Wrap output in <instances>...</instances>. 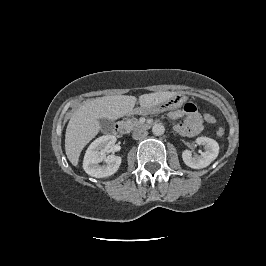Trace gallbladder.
Returning a JSON list of instances; mask_svg holds the SVG:
<instances>
[{
  "label": "gallbladder",
  "mask_w": 266,
  "mask_h": 266,
  "mask_svg": "<svg viewBox=\"0 0 266 266\" xmlns=\"http://www.w3.org/2000/svg\"><path fill=\"white\" fill-rule=\"evenodd\" d=\"M99 122H100L102 130L110 131L113 129L114 123L112 120H109L106 118H101V119H99Z\"/></svg>",
  "instance_id": "1"
}]
</instances>
